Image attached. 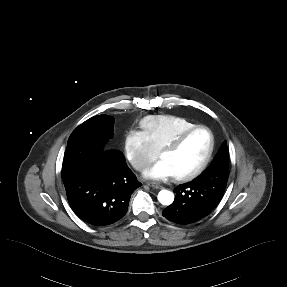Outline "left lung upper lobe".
<instances>
[{
  "instance_id": "5c2ea615",
  "label": "left lung upper lobe",
  "mask_w": 287,
  "mask_h": 287,
  "mask_svg": "<svg viewBox=\"0 0 287 287\" xmlns=\"http://www.w3.org/2000/svg\"><path fill=\"white\" fill-rule=\"evenodd\" d=\"M218 171L227 175L228 177V148L226 141L223 143L219 152L215 156L211 166L205 170L199 177L195 180L198 182H210L211 178H214L215 172ZM217 176V175H215Z\"/></svg>"
}]
</instances>
